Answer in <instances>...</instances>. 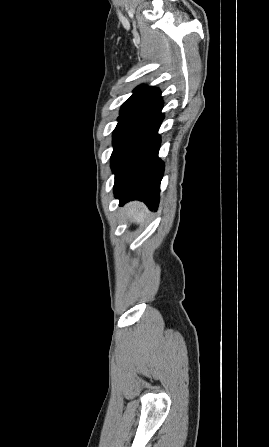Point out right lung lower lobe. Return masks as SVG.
Wrapping results in <instances>:
<instances>
[{"label": "right lung lower lobe", "mask_w": 269, "mask_h": 447, "mask_svg": "<svg viewBox=\"0 0 269 447\" xmlns=\"http://www.w3.org/2000/svg\"><path fill=\"white\" fill-rule=\"evenodd\" d=\"M163 101L124 117L113 133L111 167L115 173L114 194L120 205L141 200L152 209L159 203L164 163L158 158L159 126L163 120Z\"/></svg>", "instance_id": "1"}]
</instances>
